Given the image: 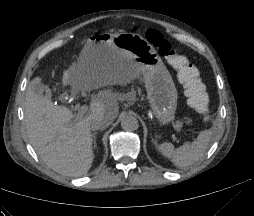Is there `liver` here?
Listing matches in <instances>:
<instances>
[{"label":"liver","instance_id":"1","mask_svg":"<svg viewBox=\"0 0 254 216\" xmlns=\"http://www.w3.org/2000/svg\"><path fill=\"white\" fill-rule=\"evenodd\" d=\"M85 49L86 46L78 61L84 57ZM140 76L141 73L133 68L127 57L117 52L106 65L73 64L63 72L62 85L71 84L80 90H93L127 85ZM39 80V77L35 79ZM120 99L121 95L116 92L99 91L93 97L87 115L76 118L70 109L55 105L48 97L37 93L31 84L24 103L26 130L31 145L55 172L73 177L86 175L94 159L89 121L93 116H104L112 122L119 114Z\"/></svg>","mask_w":254,"mask_h":216}]
</instances>
